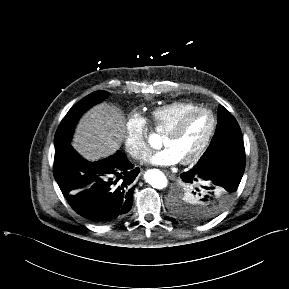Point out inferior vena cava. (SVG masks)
Masks as SVG:
<instances>
[{"label": "inferior vena cava", "mask_w": 289, "mask_h": 289, "mask_svg": "<svg viewBox=\"0 0 289 289\" xmlns=\"http://www.w3.org/2000/svg\"><path fill=\"white\" fill-rule=\"evenodd\" d=\"M148 156L146 152L136 153V158L145 159Z\"/></svg>", "instance_id": "inferior-vena-cava-1"}]
</instances>
